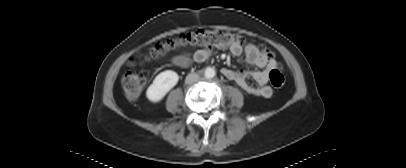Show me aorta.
<instances>
[{"mask_svg":"<svg viewBox=\"0 0 406 168\" xmlns=\"http://www.w3.org/2000/svg\"><path fill=\"white\" fill-rule=\"evenodd\" d=\"M204 75L206 78H213L215 76V70L211 67L205 69Z\"/></svg>","mask_w":406,"mask_h":168,"instance_id":"1","label":"aorta"}]
</instances>
